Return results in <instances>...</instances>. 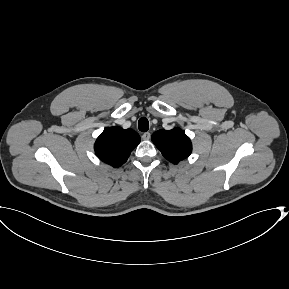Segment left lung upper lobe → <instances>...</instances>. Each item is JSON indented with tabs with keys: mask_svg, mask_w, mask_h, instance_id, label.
Returning a JSON list of instances; mask_svg holds the SVG:
<instances>
[{
	"mask_svg": "<svg viewBox=\"0 0 289 289\" xmlns=\"http://www.w3.org/2000/svg\"><path fill=\"white\" fill-rule=\"evenodd\" d=\"M152 141L163 156L173 164L187 158L192 152L189 137L179 128L158 130L153 133Z\"/></svg>",
	"mask_w": 289,
	"mask_h": 289,
	"instance_id": "left-lung-upper-lobe-1",
	"label": "left lung upper lobe"
}]
</instances>
